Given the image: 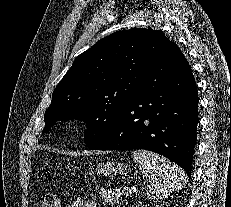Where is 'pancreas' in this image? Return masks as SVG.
Here are the masks:
<instances>
[{"instance_id": "pancreas-1", "label": "pancreas", "mask_w": 231, "mask_h": 207, "mask_svg": "<svg viewBox=\"0 0 231 207\" xmlns=\"http://www.w3.org/2000/svg\"><path fill=\"white\" fill-rule=\"evenodd\" d=\"M100 196L103 198L104 202L109 205H114L116 203H119L123 198V192L120 190H106L101 189L100 190Z\"/></svg>"}]
</instances>
